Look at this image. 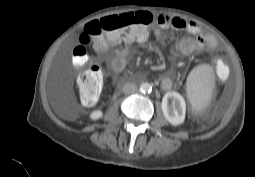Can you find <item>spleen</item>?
<instances>
[{"mask_svg":"<svg viewBox=\"0 0 255 177\" xmlns=\"http://www.w3.org/2000/svg\"><path fill=\"white\" fill-rule=\"evenodd\" d=\"M187 95L195 111L203 110L209 103L214 88V74L210 65L195 67L187 78Z\"/></svg>","mask_w":255,"mask_h":177,"instance_id":"1","label":"spleen"}]
</instances>
